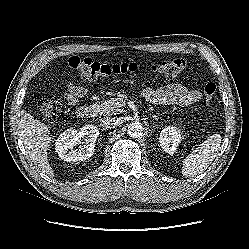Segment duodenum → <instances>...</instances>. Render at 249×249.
Wrapping results in <instances>:
<instances>
[{
  "mask_svg": "<svg viewBox=\"0 0 249 249\" xmlns=\"http://www.w3.org/2000/svg\"><path fill=\"white\" fill-rule=\"evenodd\" d=\"M97 108L95 106H81L77 110V114L82 119H89L97 116Z\"/></svg>",
  "mask_w": 249,
  "mask_h": 249,
  "instance_id": "1",
  "label": "duodenum"
}]
</instances>
